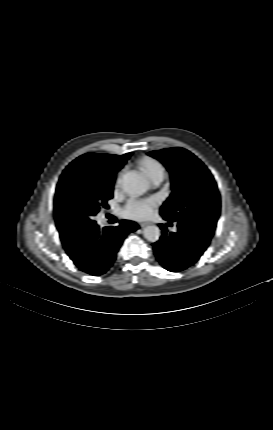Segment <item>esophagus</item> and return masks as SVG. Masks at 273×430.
Segmentation results:
<instances>
[{"instance_id":"obj_1","label":"esophagus","mask_w":273,"mask_h":430,"mask_svg":"<svg viewBox=\"0 0 273 430\" xmlns=\"http://www.w3.org/2000/svg\"><path fill=\"white\" fill-rule=\"evenodd\" d=\"M151 223H149V222H142V223H140V226L142 227V228H144V227H146L147 225H150Z\"/></svg>"}]
</instances>
